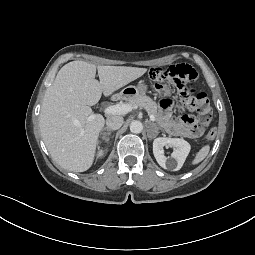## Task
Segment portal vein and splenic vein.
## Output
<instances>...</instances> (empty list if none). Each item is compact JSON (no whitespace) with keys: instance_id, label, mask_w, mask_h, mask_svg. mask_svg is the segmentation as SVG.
Returning a JSON list of instances; mask_svg holds the SVG:
<instances>
[{"instance_id":"1","label":"portal vein and splenic vein","mask_w":255,"mask_h":255,"mask_svg":"<svg viewBox=\"0 0 255 255\" xmlns=\"http://www.w3.org/2000/svg\"><path fill=\"white\" fill-rule=\"evenodd\" d=\"M134 108L136 107L130 104L121 103V104H116V105L106 107L104 109V113L107 115H123V114H127ZM149 117H150V120L153 122L156 120L155 116L152 114H150ZM94 118H95V114H92L89 116L88 120L90 121Z\"/></svg>"}]
</instances>
